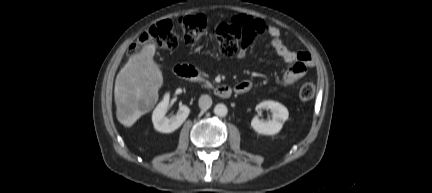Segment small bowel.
Wrapping results in <instances>:
<instances>
[{
  "instance_id": "obj_1",
  "label": "small bowel",
  "mask_w": 432,
  "mask_h": 193,
  "mask_svg": "<svg viewBox=\"0 0 432 193\" xmlns=\"http://www.w3.org/2000/svg\"><path fill=\"white\" fill-rule=\"evenodd\" d=\"M233 23L242 24L248 27L253 37L258 34H268L271 39V46L275 53L287 64L289 68L284 74L281 84L284 86H290L300 80L307 72L309 68L314 66V62L310 54L306 51L295 52L289 49L284 43L281 37V31L278 27L266 23L261 19H256L247 15H239L232 19ZM245 48L242 49L238 58L245 56ZM252 88V83L248 80L239 82L234 90L236 93L243 94L248 92Z\"/></svg>"
}]
</instances>
